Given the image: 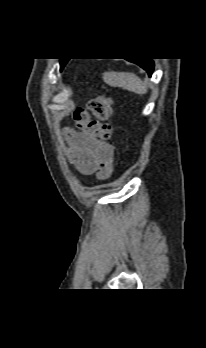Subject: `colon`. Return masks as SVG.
Listing matches in <instances>:
<instances>
[{
  "label": "colon",
  "mask_w": 206,
  "mask_h": 348,
  "mask_svg": "<svg viewBox=\"0 0 206 348\" xmlns=\"http://www.w3.org/2000/svg\"><path fill=\"white\" fill-rule=\"evenodd\" d=\"M111 115V100L105 96H98L88 104L87 110H79L74 115L77 129L93 137L109 140L112 127L107 122Z\"/></svg>",
  "instance_id": "1"
}]
</instances>
